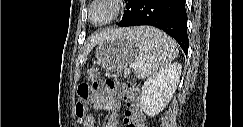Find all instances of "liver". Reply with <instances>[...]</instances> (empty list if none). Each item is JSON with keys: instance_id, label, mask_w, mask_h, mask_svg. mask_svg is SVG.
Here are the masks:
<instances>
[{"instance_id": "1", "label": "liver", "mask_w": 243, "mask_h": 127, "mask_svg": "<svg viewBox=\"0 0 243 127\" xmlns=\"http://www.w3.org/2000/svg\"><path fill=\"white\" fill-rule=\"evenodd\" d=\"M136 29L125 28V29H112V30H104L92 34L86 44V50L89 52L95 45L100 44L102 42L120 38L122 36H130L134 33Z\"/></svg>"}]
</instances>
